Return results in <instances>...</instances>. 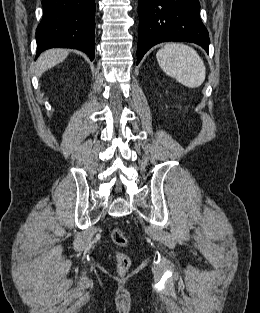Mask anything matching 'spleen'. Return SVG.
<instances>
[{"mask_svg": "<svg viewBox=\"0 0 260 313\" xmlns=\"http://www.w3.org/2000/svg\"><path fill=\"white\" fill-rule=\"evenodd\" d=\"M161 69L188 88H197L205 80L206 68L198 53L182 43H167L156 54Z\"/></svg>", "mask_w": 260, "mask_h": 313, "instance_id": "1", "label": "spleen"}]
</instances>
